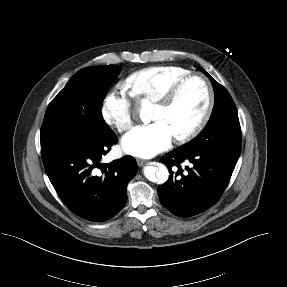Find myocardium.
I'll return each mask as SVG.
<instances>
[{"label":"myocardium","mask_w":287,"mask_h":287,"mask_svg":"<svg viewBox=\"0 0 287 287\" xmlns=\"http://www.w3.org/2000/svg\"><path fill=\"white\" fill-rule=\"evenodd\" d=\"M198 78L200 79L204 85L206 86L207 92H208V102L206 109L204 111V114L202 115L199 122L187 133L174 137L175 141L178 143H186L197 137L206 127L208 124L213 110L215 106V91L214 88L209 81V79L201 74V73H189L183 77H181L179 80H177L170 88L169 90L155 103L157 106L161 108H169L173 105L175 100L177 99L181 89L183 86L190 81L191 79Z\"/></svg>","instance_id":"myocardium-1"}]
</instances>
